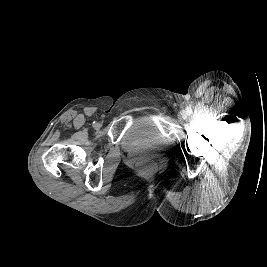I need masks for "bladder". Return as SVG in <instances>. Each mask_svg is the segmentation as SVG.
Here are the masks:
<instances>
[{
	"label": "bladder",
	"mask_w": 267,
	"mask_h": 267,
	"mask_svg": "<svg viewBox=\"0 0 267 267\" xmlns=\"http://www.w3.org/2000/svg\"><path fill=\"white\" fill-rule=\"evenodd\" d=\"M161 145V135L149 122L140 120L130 126L121 140V147L125 151L135 149H156Z\"/></svg>",
	"instance_id": "31cf9c89"
}]
</instances>
